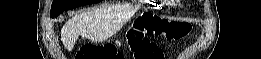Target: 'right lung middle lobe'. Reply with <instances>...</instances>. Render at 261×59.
Listing matches in <instances>:
<instances>
[{
    "mask_svg": "<svg viewBox=\"0 0 261 59\" xmlns=\"http://www.w3.org/2000/svg\"><path fill=\"white\" fill-rule=\"evenodd\" d=\"M101 0H53L50 16L56 18L62 12L79 7L81 5L98 3Z\"/></svg>",
    "mask_w": 261,
    "mask_h": 59,
    "instance_id": "right-lung-middle-lobe-1",
    "label": "right lung middle lobe"
}]
</instances>
